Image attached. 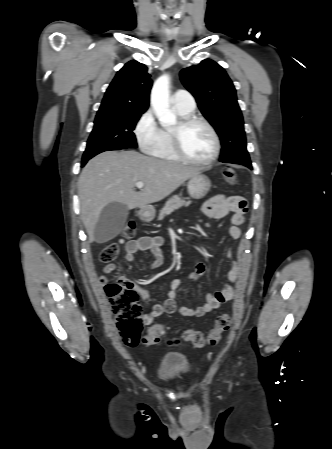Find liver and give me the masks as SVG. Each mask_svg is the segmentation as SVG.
Returning <instances> with one entry per match:
<instances>
[{
	"label": "liver",
	"instance_id": "liver-1",
	"mask_svg": "<svg viewBox=\"0 0 332 449\" xmlns=\"http://www.w3.org/2000/svg\"><path fill=\"white\" fill-rule=\"evenodd\" d=\"M200 169L142 155L136 151H107L92 158L78 180L81 217L89 241L103 208L123 203L128 210L161 201ZM137 182L144 187L135 191Z\"/></svg>",
	"mask_w": 332,
	"mask_h": 449
}]
</instances>
